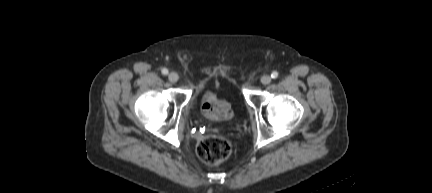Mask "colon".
I'll list each match as a JSON object with an SVG mask.
<instances>
[{"label":"colon","mask_w":432,"mask_h":193,"mask_svg":"<svg viewBox=\"0 0 432 193\" xmlns=\"http://www.w3.org/2000/svg\"><path fill=\"white\" fill-rule=\"evenodd\" d=\"M232 152V144L225 138L204 137L197 146L198 157L209 165H217L226 160Z\"/></svg>","instance_id":"obj_1"}]
</instances>
